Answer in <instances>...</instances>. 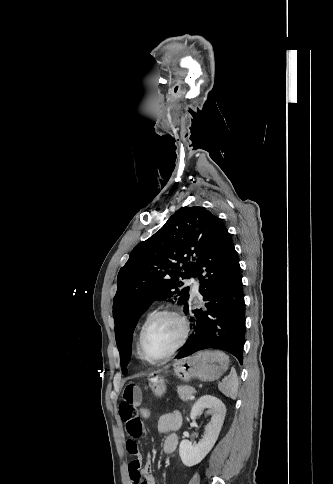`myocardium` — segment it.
Returning <instances> with one entry per match:
<instances>
[{
    "instance_id": "1",
    "label": "myocardium",
    "mask_w": 333,
    "mask_h": 484,
    "mask_svg": "<svg viewBox=\"0 0 333 484\" xmlns=\"http://www.w3.org/2000/svg\"><path fill=\"white\" fill-rule=\"evenodd\" d=\"M163 316H170L178 320V322L181 325L182 328V333L181 336L178 340V342L163 356L159 358H150L149 356L146 355L144 351V339L146 332L149 328V326L158 318L163 317ZM190 334V323L188 319L183 315L180 311L175 310V309H162L159 311L154 312L153 314L150 315V317L146 320L144 325L141 328L140 334H139V339H138V353L142 359L149 363H160L165 361L166 359L170 358L173 356L178 350L182 348V346L186 343L188 337Z\"/></svg>"
}]
</instances>
